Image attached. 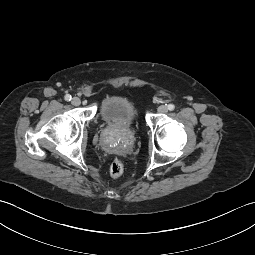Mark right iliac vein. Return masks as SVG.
<instances>
[{
	"mask_svg": "<svg viewBox=\"0 0 255 255\" xmlns=\"http://www.w3.org/2000/svg\"><path fill=\"white\" fill-rule=\"evenodd\" d=\"M71 103H72L74 106H78V105H80L81 100H80L79 97H74V98L72 99Z\"/></svg>",
	"mask_w": 255,
	"mask_h": 255,
	"instance_id": "obj_1",
	"label": "right iliac vein"
}]
</instances>
